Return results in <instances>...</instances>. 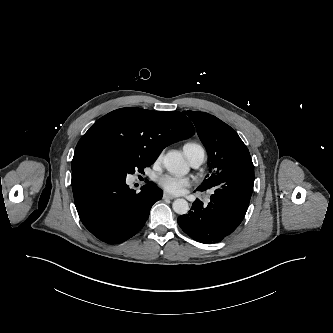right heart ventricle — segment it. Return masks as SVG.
<instances>
[{"instance_id": "1", "label": "right heart ventricle", "mask_w": 333, "mask_h": 333, "mask_svg": "<svg viewBox=\"0 0 333 333\" xmlns=\"http://www.w3.org/2000/svg\"><path fill=\"white\" fill-rule=\"evenodd\" d=\"M203 149L199 144L194 142H188L184 144L183 151L189 159L196 151Z\"/></svg>"}]
</instances>
